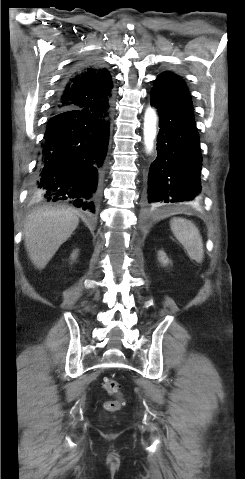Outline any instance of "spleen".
Masks as SVG:
<instances>
[{
	"label": "spleen",
	"instance_id": "obj_1",
	"mask_svg": "<svg viewBox=\"0 0 245 479\" xmlns=\"http://www.w3.org/2000/svg\"><path fill=\"white\" fill-rule=\"evenodd\" d=\"M170 227L174 236L185 248L189 258L201 263L204 258L203 242L196 225L190 220L175 217L171 219Z\"/></svg>",
	"mask_w": 245,
	"mask_h": 479
}]
</instances>
